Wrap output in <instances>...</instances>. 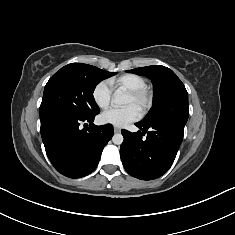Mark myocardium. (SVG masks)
<instances>
[{
  "label": "myocardium",
  "instance_id": "1",
  "mask_svg": "<svg viewBox=\"0 0 235 235\" xmlns=\"http://www.w3.org/2000/svg\"><path fill=\"white\" fill-rule=\"evenodd\" d=\"M128 95L139 103V110L141 114H145L150 109L153 97L152 92L147 87L129 90Z\"/></svg>",
  "mask_w": 235,
  "mask_h": 235
}]
</instances>
